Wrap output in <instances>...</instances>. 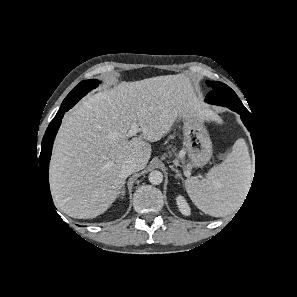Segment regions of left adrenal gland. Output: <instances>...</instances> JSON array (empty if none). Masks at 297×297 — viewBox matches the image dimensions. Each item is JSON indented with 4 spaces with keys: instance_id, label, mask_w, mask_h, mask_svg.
I'll return each mask as SVG.
<instances>
[{
    "instance_id": "left-adrenal-gland-1",
    "label": "left adrenal gland",
    "mask_w": 297,
    "mask_h": 297,
    "mask_svg": "<svg viewBox=\"0 0 297 297\" xmlns=\"http://www.w3.org/2000/svg\"><path fill=\"white\" fill-rule=\"evenodd\" d=\"M170 168H171L172 171H174L176 173L175 177L180 178L182 180V182L184 183L185 181H184V179L182 177V174L179 172V170L174 168L173 165H171Z\"/></svg>"
}]
</instances>
